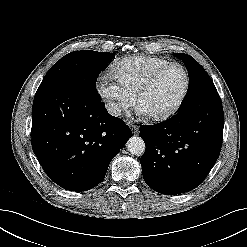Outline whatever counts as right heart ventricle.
I'll return each instance as SVG.
<instances>
[{
    "label": "right heart ventricle",
    "instance_id": "obj_1",
    "mask_svg": "<svg viewBox=\"0 0 247 247\" xmlns=\"http://www.w3.org/2000/svg\"><path fill=\"white\" fill-rule=\"evenodd\" d=\"M168 63V60L154 56H132L115 63L110 69V74L133 97L140 84L153 71Z\"/></svg>",
    "mask_w": 247,
    "mask_h": 247
}]
</instances>
